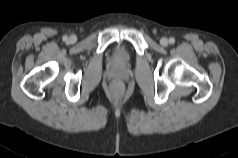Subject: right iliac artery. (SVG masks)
Listing matches in <instances>:
<instances>
[{
    "instance_id": "obj_1",
    "label": "right iliac artery",
    "mask_w": 238,
    "mask_h": 158,
    "mask_svg": "<svg viewBox=\"0 0 238 158\" xmlns=\"http://www.w3.org/2000/svg\"><path fill=\"white\" fill-rule=\"evenodd\" d=\"M68 37L67 36H63V41H67Z\"/></svg>"
}]
</instances>
